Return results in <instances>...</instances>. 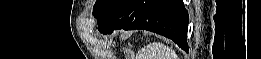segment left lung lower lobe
<instances>
[{"mask_svg":"<svg viewBox=\"0 0 261 59\" xmlns=\"http://www.w3.org/2000/svg\"><path fill=\"white\" fill-rule=\"evenodd\" d=\"M188 12L182 0H120L98 23V30L143 29L172 39L186 52Z\"/></svg>","mask_w":261,"mask_h":59,"instance_id":"obj_1","label":"left lung lower lobe"}]
</instances>
